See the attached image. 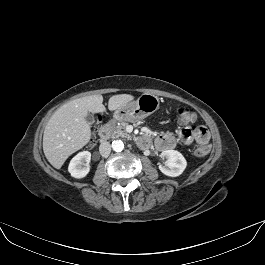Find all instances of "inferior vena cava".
Wrapping results in <instances>:
<instances>
[{
    "instance_id": "inferior-vena-cava-1",
    "label": "inferior vena cava",
    "mask_w": 265,
    "mask_h": 265,
    "mask_svg": "<svg viewBox=\"0 0 265 265\" xmlns=\"http://www.w3.org/2000/svg\"><path fill=\"white\" fill-rule=\"evenodd\" d=\"M99 152L101 154V156L103 157H108L110 152H111V145L109 142L104 141L100 144L99 146Z\"/></svg>"
}]
</instances>
